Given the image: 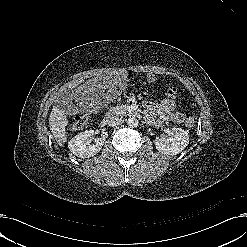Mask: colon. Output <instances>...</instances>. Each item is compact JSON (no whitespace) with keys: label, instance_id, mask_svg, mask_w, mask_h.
Listing matches in <instances>:
<instances>
[{"label":"colon","instance_id":"1","mask_svg":"<svg viewBox=\"0 0 247 247\" xmlns=\"http://www.w3.org/2000/svg\"><path fill=\"white\" fill-rule=\"evenodd\" d=\"M178 90L175 87H169L166 90V96L169 98H175L177 96ZM89 121L88 114H82L75 118L72 123V129H80L84 127ZM184 121L187 126H193L195 123V119L193 116L184 114Z\"/></svg>","mask_w":247,"mask_h":247}]
</instances>
